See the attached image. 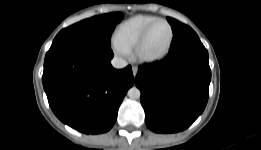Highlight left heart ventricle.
<instances>
[{
	"label": "left heart ventricle",
	"mask_w": 261,
	"mask_h": 150,
	"mask_svg": "<svg viewBox=\"0 0 261 150\" xmlns=\"http://www.w3.org/2000/svg\"><path fill=\"white\" fill-rule=\"evenodd\" d=\"M169 27L167 24L160 22L150 31L148 38L143 47V53L147 56H155L162 53L169 40Z\"/></svg>",
	"instance_id": "1"
}]
</instances>
